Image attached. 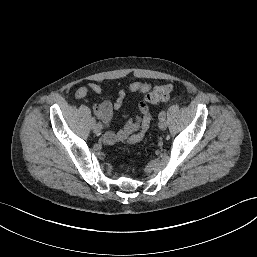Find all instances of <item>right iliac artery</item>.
Wrapping results in <instances>:
<instances>
[{
	"label": "right iliac artery",
	"instance_id": "82829eb1",
	"mask_svg": "<svg viewBox=\"0 0 257 257\" xmlns=\"http://www.w3.org/2000/svg\"><path fill=\"white\" fill-rule=\"evenodd\" d=\"M92 125H95L96 124V119H95V117H92Z\"/></svg>",
	"mask_w": 257,
	"mask_h": 257
}]
</instances>
